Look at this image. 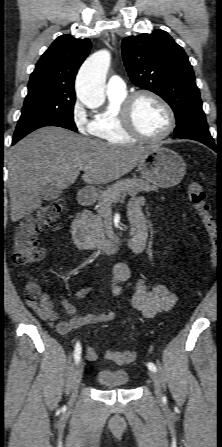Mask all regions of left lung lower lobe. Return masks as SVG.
Wrapping results in <instances>:
<instances>
[{
	"instance_id": "0a47b994",
	"label": "left lung lower lobe",
	"mask_w": 222,
	"mask_h": 447,
	"mask_svg": "<svg viewBox=\"0 0 222 447\" xmlns=\"http://www.w3.org/2000/svg\"><path fill=\"white\" fill-rule=\"evenodd\" d=\"M204 143L205 145L209 146L211 149H213L214 151H216V146L214 141H199Z\"/></svg>"
}]
</instances>
